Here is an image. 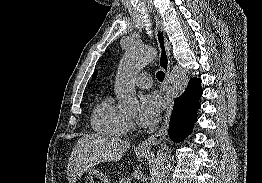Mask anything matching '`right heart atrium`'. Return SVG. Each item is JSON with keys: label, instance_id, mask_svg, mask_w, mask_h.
<instances>
[{"label": "right heart atrium", "instance_id": "d8ad5b80", "mask_svg": "<svg viewBox=\"0 0 262 183\" xmlns=\"http://www.w3.org/2000/svg\"><path fill=\"white\" fill-rule=\"evenodd\" d=\"M129 126L131 127L132 126V122L129 121Z\"/></svg>", "mask_w": 262, "mask_h": 183}]
</instances>
